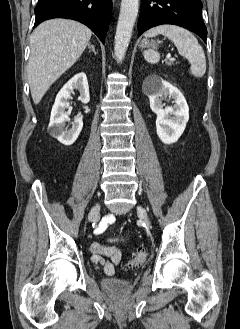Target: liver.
<instances>
[{"mask_svg":"<svg viewBox=\"0 0 240 329\" xmlns=\"http://www.w3.org/2000/svg\"><path fill=\"white\" fill-rule=\"evenodd\" d=\"M91 35V30L83 24L66 19L45 21L34 30L27 74L35 104L40 103L50 86L79 59Z\"/></svg>","mask_w":240,"mask_h":329,"instance_id":"obj_1","label":"liver"}]
</instances>
